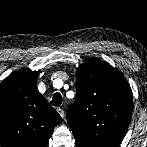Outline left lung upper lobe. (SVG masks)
<instances>
[{
    "mask_svg": "<svg viewBox=\"0 0 147 147\" xmlns=\"http://www.w3.org/2000/svg\"><path fill=\"white\" fill-rule=\"evenodd\" d=\"M76 100L67 111L77 147H117L130 123L131 88L112 66L92 57L77 70Z\"/></svg>",
    "mask_w": 147,
    "mask_h": 147,
    "instance_id": "obj_1",
    "label": "left lung upper lobe"
}]
</instances>
